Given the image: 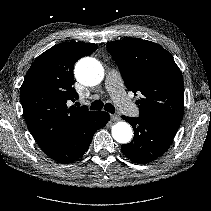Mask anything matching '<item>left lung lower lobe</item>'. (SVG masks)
<instances>
[{"label": "left lung lower lobe", "instance_id": "left-lung-lower-lobe-1", "mask_svg": "<svg viewBox=\"0 0 211 211\" xmlns=\"http://www.w3.org/2000/svg\"><path fill=\"white\" fill-rule=\"evenodd\" d=\"M134 129L133 141L121 147L123 154L134 162L149 163L162 156L170 147L180 120L165 118L126 117Z\"/></svg>", "mask_w": 211, "mask_h": 211}]
</instances>
